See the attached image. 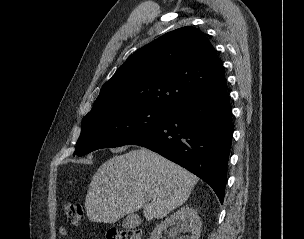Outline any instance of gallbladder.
Here are the masks:
<instances>
[{
  "instance_id": "1",
  "label": "gallbladder",
  "mask_w": 304,
  "mask_h": 239,
  "mask_svg": "<svg viewBox=\"0 0 304 239\" xmlns=\"http://www.w3.org/2000/svg\"><path fill=\"white\" fill-rule=\"evenodd\" d=\"M139 224V218L135 214H129L122 222L124 228H135Z\"/></svg>"
}]
</instances>
